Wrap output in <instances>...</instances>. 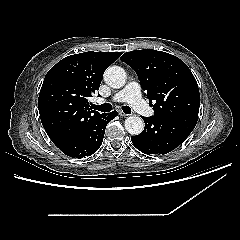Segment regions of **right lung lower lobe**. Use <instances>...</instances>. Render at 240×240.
Masks as SVG:
<instances>
[{"label":"right lung lower lobe","instance_id":"obj_1","mask_svg":"<svg viewBox=\"0 0 240 240\" xmlns=\"http://www.w3.org/2000/svg\"><path fill=\"white\" fill-rule=\"evenodd\" d=\"M117 116V112L103 113L95 119L85 132L71 139L56 144V146L70 157L83 158L94 154L102 144L105 128L109 121Z\"/></svg>","mask_w":240,"mask_h":240}]
</instances>
